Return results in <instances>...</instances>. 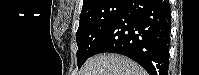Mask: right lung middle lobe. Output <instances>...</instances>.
<instances>
[{
	"label": "right lung middle lobe",
	"mask_w": 199,
	"mask_h": 75,
	"mask_svg": "<svg viewBox=\"0 0 199 75\" xmlns=\"http://www.w3.org/2000/svg\"><path fill=\"white\" fill-rule=\"evenodd\" d=\"M127 0H105L82 9L76 33L78 68L91 56L103 36L116 21Z\"/></svg>",
	"instance_id": "dd1d6c3e"
}]
</instances>
